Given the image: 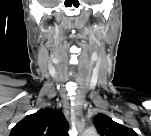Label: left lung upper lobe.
I'll return each instance as SVG.
<instances>
[{
    "mask_svg": "<svg viewBox=\"0 0 151 136\" xmlns=\"http://www.w3.org/2000/svg\"><path fill=\"white\" fill-rule=\"evenodd\" d=\"M93 123L100 136H135L132 129L114 122L110 117L103 114L95 116Z\"/></svg>",
    "mask_w": 151,
    "mask_h": 136,
    "instance_id": "5c2ea615",
    "label": "left lung upper lobe"
}]
</instances>
